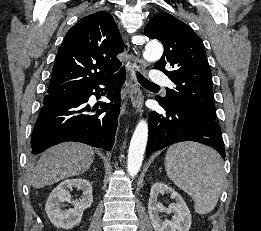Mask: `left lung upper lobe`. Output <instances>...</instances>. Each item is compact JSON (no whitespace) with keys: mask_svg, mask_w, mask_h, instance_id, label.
I'll return each mask as SVG.
<instances>
[{"mask_svg":"<svg viewBox=\"0 0 261 231\" xmlns=\"http://www.w3.org/2000/svg\"><path fill=\"white\" fill-rule=\"evenodd\" d=\"M144 34L158 39L164 55L154 64L176 84L160 98L166 104H182L216 120L212 77L205 47L199 36L185 23L166 12L155 15ZM165 66L173 69L167 71Z\"/></svg>","mask_w":261,"mask_h":231,"instance_id":"1","label":"left lung upper lobe"}]
</instances>
